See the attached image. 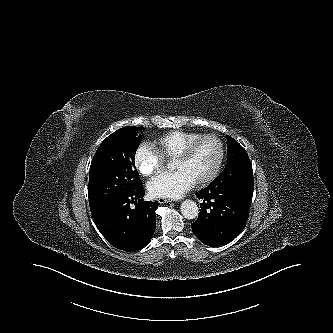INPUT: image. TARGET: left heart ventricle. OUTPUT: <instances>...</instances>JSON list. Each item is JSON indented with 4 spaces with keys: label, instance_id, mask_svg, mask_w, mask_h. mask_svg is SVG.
<instances>
[{
    "label": "left heart ventricle",
    "instance_id": "left-heart-ventricle-1",
    "mask_svg": "<svg viewBox=\"0 0 333 333\" xmlns=\"http://www.w3.org/2000/svg\"><path fill=\"white\" fill-rule=\"evenodd\" d=\"M219 148L211 138L200 141L191 155L183 161H174L175 170L187 172L195 182L206 178L214 169L218 160Z\"/></svg>",
    "mask_w": 333,
    "mask_h": 333
}]
</instances>
